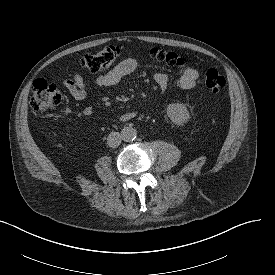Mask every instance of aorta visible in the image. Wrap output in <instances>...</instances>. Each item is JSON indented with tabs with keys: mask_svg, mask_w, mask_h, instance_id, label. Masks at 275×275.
<instances>
[{
	"mask_svg": "<svg viewBox=\"0 0 275 275\" xmlns=\"http://www.w3.org/2000/svg\"><path fill=\"white\" fill-rule=\"evenodd\" d=\"M137 136V131L133 127H125L121 131L122 140L125 142L133 141Z\"/></svg>",
	"mask_w": 275,
	"mask_h": 275,
	"instance_id": "1",
	"label": "aorta"
}]
</instances>
